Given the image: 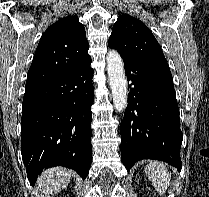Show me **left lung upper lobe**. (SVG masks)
Instances as JSON below:
<instances>
[{"instance_id":"left-lung-upper-lobe-1","label":"left lung upper lobe","mask_w":209,"mask_h":197,"mask_svg":"<svg viewBox=\"0 0 209 197\" xmlns=\"http://www.w3.org/2000/svg\"><path fill=\"white\" fill-rule=\"evenodd\" d=\"M125 60L170 72L162 49L150 29L140 20L122 14L113 26L108 41Z\"/></svg>"}]
</instances>
